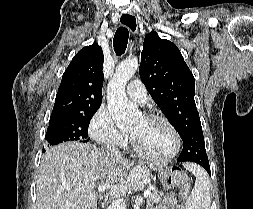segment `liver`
I'll list each match as a JSON object with an SVG mask.
<instances>
[{
  "instance_id": "6515ba94",
  "label": "liver",
  "mask_w": 253,
  "mask_h": 209,
  "mask_svg": "<svg viewBox=\"0 0 253 209\" xmlns=\"http://www.w3.org/2000/svg\"><path fill=\"white\" fill-rule=\"evenodd\" d=\"M152 170L159 167L150 164ZM133 167L128 160L111 158L88 143L67 142L42 157L36 180L37 209H98L97 182L111 187L117 197L128 189L139 190L150 180L146 166ZM130 170V171H129ZM115 187L122 191L113 192ZM101 199L102 197L99 196Z\"/></svg>"
}]
</instances>
